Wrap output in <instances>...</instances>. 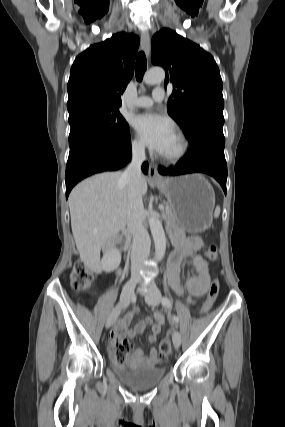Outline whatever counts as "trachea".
I'll return each mask as SVG.
<instances>
[{
  "mask_svg": "<svg viewBox=\"0 0 285 427\" xmlns=\"http://www.w3.org/2000/svg\"><path fill=\"white\" fill-rule=\"evenodd\" d=\"M147 69V60L143 51H140L135 66V76L136 79L140 82L143 79L144 73Z\"/></svg>",
  "mask_w": 285,
  "mask_h": 427,
  "instance_id": "3493384b",
  "label": "trachea"
}]
</instances>
